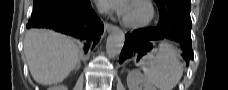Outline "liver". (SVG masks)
<instances>
[{
	"label": "liver",
	"mask_w": 228,
	"mask_h": 90,
	"mask_svg": "<svg viewBox=\"0 0 228 90\" xmlns=\"http://www.w3.org/2000/svg\"><path fill=\"white\" fill-rule=\"evenodd\" d=\"M24 53L33 79L42 85L62 82L79 61L74 41L48 30H29Z\"/></svg>",
	"instance_id": "1"
}]
</instances>
